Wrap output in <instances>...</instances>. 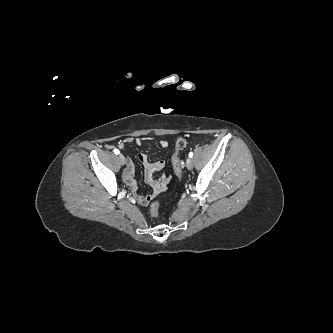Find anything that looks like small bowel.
Listing matches in <instances>:
<instances>
[{"label": "small bowel", "mask_w": 333, "mask_h": 333, "mask_svg": "<svg viewBox=\"0 0 333 333\" xmlns=\"http://www.w3.org/2000/svg\"><path fill=\"white\" fill-rule=\"evenodd\" d=\"M147 138L145 137H127L124 142H121L118 144L120 148L124 147V143H131L135 141L137 145H142ZM160 146L163 148L168 147L169 143L162 139L160 140ZM138 160L144 165L145 169V179L148 185L151 187V193L149 195L143 196V195H136V200L138 204L141 206H147L150 201L157 196L159 193L163 192L166 190L167 185L170 181V176L165 174L160 178H156L154 174L158 171H161L165 163L164 161H155V162H150L145 154H139ZM123 179L125 183L130 187L132 192L136 194L137 191V184L134 179V163L131 159H127V164H126V169L123 174Z\"/></svg>", "instance_id": "c3829d8e"}]
</instances>
